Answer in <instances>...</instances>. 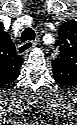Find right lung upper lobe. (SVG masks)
Returning <instances> with one entry per match:
<instances>
[{
	"label": "right lung upper lobe",
	"instance_id": "1",
	"mask_svg": "<svg viewBox=\"0 0 77 125\" xmlns=\"http://www.w3.org/2000/svg\"><path fill=\"white\" fill-rule=\"evenodd\" d=\"M0 31V84L7 85L17 79L23 58L16 53L8 33Z\"/></svg>",
	"mask_w": 77,
	"mask_h": 125
}]
</instances>
